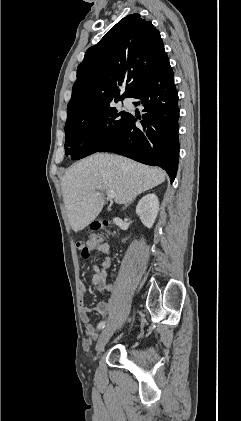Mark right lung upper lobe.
Wrapping results in <instances>:
<instances>
[{"label": "right lung upper lobe", "mask_w": 241, "mask_h": 421, "mask_svg": "<svg viewBox=\"0 0 241 421\" xmlns=\"http://www.w3.org/2000/svg\"><path fill=\"white\" fill-rule=\"evenodd\" d=\"M165 57L160 33L151 21L137 13L120 20L79 64L65 126L130 97ZM124 83L126 90L119 96Z\"/></svg>", "instance_id": "obj_1"}]
</instances>
